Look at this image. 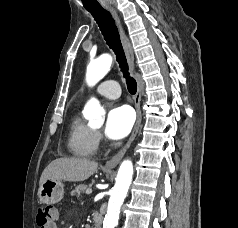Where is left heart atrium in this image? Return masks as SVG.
I'll list each match as a JSON object with an SVG mask.
<instances>
[{"label":"left heart atrium","instance_id":"39dd6f15","mask_svg":"<svg viewBox=\"0 0 238 228\" xmlns=\"http://www.w3.org/2000/svg\"><path fill=\"white\" fill-rule=\"evenodd\" d=\"M134 112L127 105L112 107L107 114L104 132L107 138L120 140L126 137L134 124Z\"/></svg>","mask_w":238,"mask_h":228}]
</instances>
